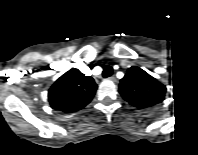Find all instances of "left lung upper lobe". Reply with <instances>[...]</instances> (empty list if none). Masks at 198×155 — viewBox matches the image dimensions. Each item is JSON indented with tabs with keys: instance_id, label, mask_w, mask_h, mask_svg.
<instances>
[{
	"instance_id": "left-lung-upper-lobe-1",
	"label": "left lung upper lobe",
	"mask_w": 198,
	"mask_h": 155,
	"mask_svg": "<svg viewBox=\"0 0 198 155\" xmlns=\"http://www.w3.org/2000/svg\"><path fill=\"white\" fill-rule=\"evenodd\" d=\"M119 91L131 105L144 108L163 101L166 86L141 68L133 66L121 80Z\"/></svg>"
}]
</instances>
